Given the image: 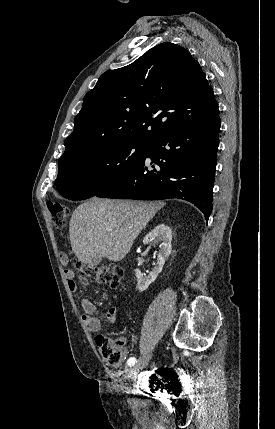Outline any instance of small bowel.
<instances>
[{
    "instance_id": "small-bowel-1",
    "label": "small bowel",
    "mask_w": 275,
    "mask_h": 429,
    "mask_svg": "<svg viewBox=\"0 0 275 429\" xmlns=\"http://www.w3.org/2000/svg\"><path fill=\"white\" fill-rule=\"evenodd\" d=\"M64 272L69 290L71 292H75L77 290V283L74 279V272L70 269H66ZM80 282L85 285L88 283L87 279L84 278H80ZM81 307L84 311L82 320L87 329L91 332H99L102 328L103 321H106L109 324H114L116 321V306L110 307L104 313H100L96 305L91 300L83 298L81 300Z\"/></svg>"
}]
</instances>
